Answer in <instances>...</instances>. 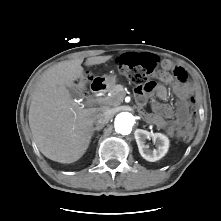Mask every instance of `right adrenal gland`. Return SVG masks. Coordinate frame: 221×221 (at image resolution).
<instances>
[{"mask_svg":"<svg viewBox=\"0 0 221 221\" xmlns=\"http://www.w3.org/2000/svg\"><path fill=\"white\" fill-rule=\"evenodd\" d=\"M101 129H102V127H95V128H93V130H92V136H94L95 131L99 132V131H101ZM98 137H99V135L97 136V138H98Z\"/></svg>","mask_w":221,"mask_h":221,"instance_id":"2a0ac1e0","label":"right adrenal gland"}]
</instances>
